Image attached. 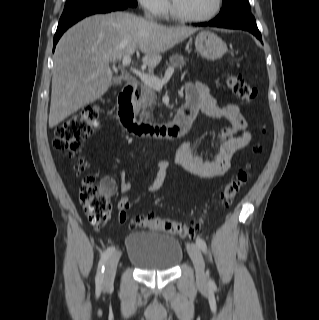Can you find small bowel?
<instances>
[{"label":"small bowel","instance_id":"1","mask_svg":"<svg viewBox=\"0 0 319 320\" xmlns=\"http://www.w3.org/2000/svg\"><path fill=\"white\" fill-rule=\"evenodd\" d=\"M185 93V107L196 110V113L202 111L211 118L226 119L230 125L218 133L217 149L210 155H205L197 150L190 141H182L175 149V162L193 177H220L228 171L232 156L251 141V134L247 130V121L237 105L219 106L206 84L187 83ZM154 165L158 172L148 188L150 193L160 190L169 169L168 163L164 161H158ZM118 186L119 190L124 193L132 188L131 182L125 180L122 172L119 174ZM128 207V198H120L117 204L118 212L126 211Z\"/></svg>","mask_w":319,"mask_h":320}]
</instances>
